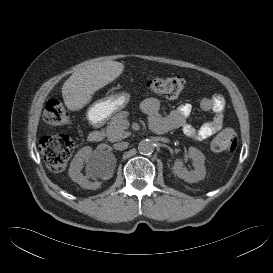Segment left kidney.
Instances as JSON below:
<instances>
[{"mask_svg": "<svg viewBox=\"0 0 273 273\" xmlns=\"http://www.w3.org/2000/svg\"><path fill=\"white\" fill-rule=\"evenodd\" d=\"M188 155L193 160L194 170L188 171L183 167V162L180 159H177L173 166L174 174L188 183H196L203 180L206 175L204 166L205 156L195 147L189 148Z\"/></svg>", "mask_w": 273, "mask_h": 273, "instance_id": "obj_1", "label": "left kidney"}]
</instances>
